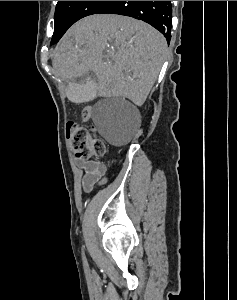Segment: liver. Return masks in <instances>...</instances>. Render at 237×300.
Returning a JSON list of instances; mask_svg holds the SVG:
<instances>
[{
	"label": "liver",
	"mask_w": 237,
	"mask_h": 300,
	"mask_svg": "<svg viewBox=\"0 0 237 300\" xmlns=\"http://www.w3.org/2000/svg\"><path fill=\"white\" fill-rule=\"evenodd\" d=\"M166 49L163 35L143 21L90 15L65 33L52 65L62 79L93 71L101 93L121 95L141 107L160 73Z\"/></svg>",
	"instance_id": "1"
}]
</instances>
